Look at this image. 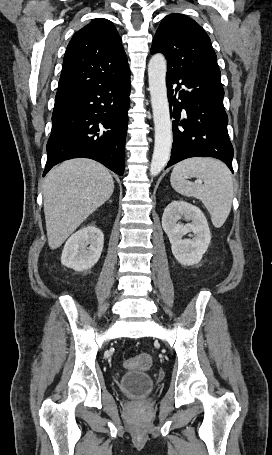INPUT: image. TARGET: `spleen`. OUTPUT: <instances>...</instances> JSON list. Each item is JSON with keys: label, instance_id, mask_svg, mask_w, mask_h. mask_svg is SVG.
I'll return each mask as SVG.
<instances>
[{"label": "spleen", "instance_id": "spleen-1", "mask_svg": "<svg viewBox=\"0 0 272 455\" xmlns=\"http://www.w3.org/2000/svg\"><path fill=\"white\" fill-rule=\"evenodd\" d=\"M197 181L190 182L188 178ZM202 180L204 184H200ZM171 186L179 194L201 200L216 228L226 221L232 206L233 180L228 167L212 158L194 157L181 161L173 168Z\"/></svg>", "mask_w": 272, "mask_h": 455}]
</instances>
